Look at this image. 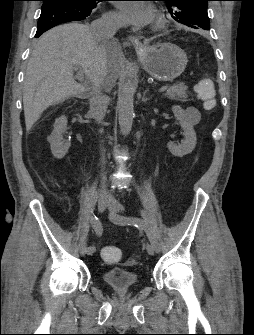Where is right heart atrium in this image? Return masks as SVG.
<instances>
[{
  "mask_svg": "<svg viewBox=\"0 0 254 335\" xmlns=\"http://www.w3.org/2000/svg\"><path fill=\"white\" fill-rule=\"evenodd\" d=\"M102 21L104 22H120L121 21V16L119 13L115 12V11H112V12H109L107 14H105L103 17H102Z\"/></svg>",
  "mask_w": 254,
  "mask_h": 335,
  "instance_id": "1",
  "label": "right heart atrium"
}]
</instances>
